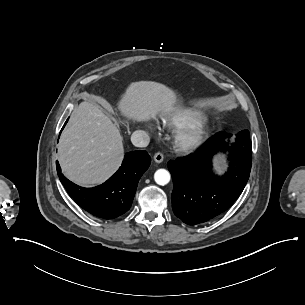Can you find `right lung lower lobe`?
<instances>
[{"mask_svg":"<svg viewBox=\"0 0 305 305\" xmlns=\"http://www.w3.org/2000/svg\"><path fill=\"white\" fill-rule=\"evenodd\" d=\"M150 163L151 158L146 151L129 152L119 170L105 183L93 188L74 184L61 174L58 162L56 167L61 183L80 207L94 216L113 219L131 207L138 181Z\"/></svg>","mask_w":305,"mask_h":305,"instance_id":"1","label":"right lung lower lobe"}]
</instances>
